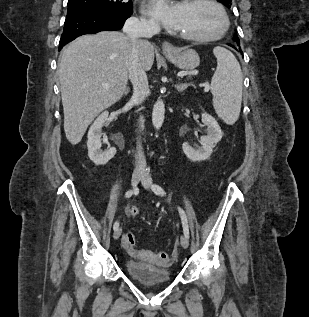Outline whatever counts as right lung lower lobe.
Returning <instances> with one entry per match:
<instances>
[{"label": "right lung lower lobe", "mask_w": 309, "mask_h": 317, "mask_svg": "<svg viewBox=\"0 0 309 317\" xmlns=\"http://www.w3.org/2000/svg\"><path fill=\"white\" fill-rule=\"evenodd\" d=\"M131 15L92 8H68L59 50L81 35L105 30H119Z\"/></svg>", "instance_id": "right-lung-lower-lobe-1"}]
</instances>
